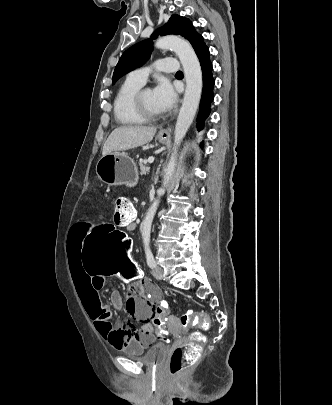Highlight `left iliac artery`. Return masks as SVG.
<instances>
[{
    "mask_svg": "<svg viewBox=\"0 0 332 405\" xmlns=\"http://www.w3.org/2000/svg\"><path fill=\"white\" fill-rule=\"evenodd\" d=\"M145 254H146V260L147 264L150 268H154L156 266V262L153 256V253L150 248L145 249Z\"/></svg>",
    "mask_w": 332,
    "mask_h": 405,
    "instance_id": "1",
    "label": "left iliac artery"
}]
</instances>
